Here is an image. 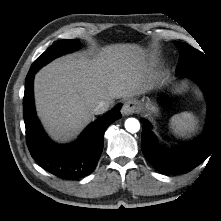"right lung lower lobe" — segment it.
<instances>
[{"mask_svg":"<svg viewBox=\"0 0 221 221\" xmlns=\"http://www.w3.org/2000/svg\"><path fill=\"white\" fill-rule=\"evenodd\" d=\"M28 72L23 99L27 145L31 156L48 172L62 179H77L93 172L103 149L104 132L121 118V104L90 124L80 138L70 145H58L44 133L36 117L33 100V79Z\"/></svg>","mask_w":221,"mask_h":221,"instance_id":"1","label":"right lung lower lobe"}]
</instances>
